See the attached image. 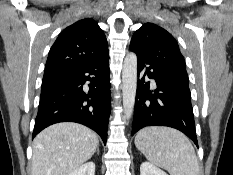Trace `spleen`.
<instances>
[{
    "label": "spleen",
    "instance_id": "obj_1",
    "mask_svg": "<svg viewBox=\"0 0 233 175\" xmlns=\"http://www.w3.org/2000/svg\"><path fill=\"white\" fill-rule=\"evenodd\" d=\"M135 145L147 160L170 175H199V164L189 139L180 131L162 126L141 129Z\"/></svg>",
    "mask_w": 233,
    "mask_h": 175
}]
</instances>
